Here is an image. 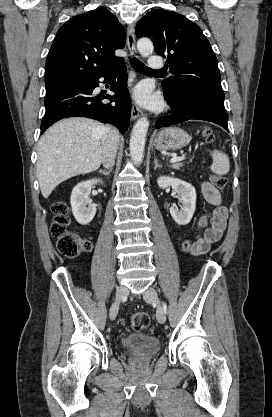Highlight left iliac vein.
I'll return each mask as SVG.
<instances>
[{
	"label": "left iliac vein",
	"instance_id": "left-iliac-vein-1",
	"mask_svg": "<svg viewBox=\"0 0 272 417\" xmlns=\"http://www.w3.org/2000/svg\"><path fill=\"white\" fill-rule=\"evenodd\" d=\"M143 298L146 302L156 304V318L159 323L163 324L166 321V315L163 307L161 306L156 290L153 287H149L144 293Z\"/></svg>",
	"mask_w": 272,
	"mask_h": 417
}]
</instances>
